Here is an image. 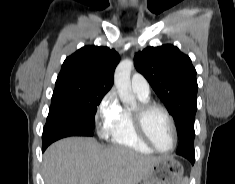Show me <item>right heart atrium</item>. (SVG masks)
Wrapping results in <instances>:
<instances>
[{
    "label": "right heart atrium",
    "mask_w": 235,
    "mask_h": 184,
    "mask_svg": "<svg viewBox=\"0 0 235 184\" xmlns=\"http://www.w3.org/2000/svg\"><path fill=\"white\" fill-rule=\"evenodd\" d=\"M123 108L121 107L115 91H109L99 102L93 114V124L99 138L112 136L115 131Z\"/></svg>",
    "instance_id": "obj_1"
}]
</instances>
